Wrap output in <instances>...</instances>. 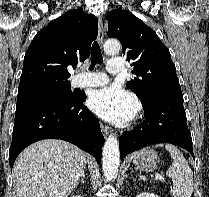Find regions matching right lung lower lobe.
Masks as SVG:
<instances>
[{
    "label": "right lung lower lobe",
    "instance_id": "right-lung-lower-lobe-1",
    "mask_svg": "<svg viewBox=\"0 0 209 197\" xmlns=\"http://www.w3.org/2000/svg\"><path fill=\"white\" fill-rule=\"evenodd\" d=\"M84 93L64 100H43L16 108L12 144L9 150L11 168L19 153L42 139H62L89 154L98 163L102 157L104 137L100 124L83 104Z\"/></svg>",
    "mask_w": 209,
    "mask_h": 197
}]
</instances>
